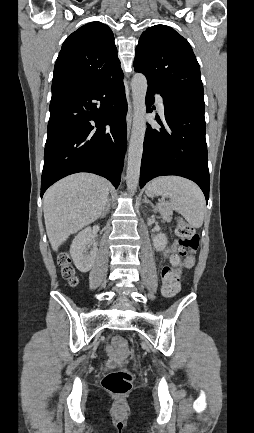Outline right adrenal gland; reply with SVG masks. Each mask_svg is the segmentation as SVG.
Instances as JSON below:
<instances>
[{"label":"right adrenal gland","instance_id":"obj_1","mask_svg":"<svg viewBox=\"0 0 254 433\" xmlns=\"http://www.w3.org/2000/svg\"><path fill=\"white\" fill-rule=\"evenodd\" d=\"M111 208V198H108L107 204L102 212V217L106 216Z\"/></svg>","mask_w":254,"mask_h":433}]
</instances>
